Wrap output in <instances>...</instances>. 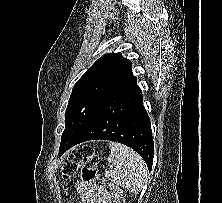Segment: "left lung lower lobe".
Here are the masks:
<instances>
[{"mask_svg": "<svg viewBox=\"0 0 222 203\" xmlns=\"http://www.w3.org/2000/svg\"><path fill=\"white\" fill-rule=\"evenodd\" d=\"M142 102L141 89L136 84V77L132 75L103 102L78 136L59 148V156L84 141L105 139L135 150L151 171L154 156L152 131Z\"/></svg>", "mask_w": 222, "mask_h": 203, "instance_id": "1", "label": "left lung lower lobe"}]
</instances>
